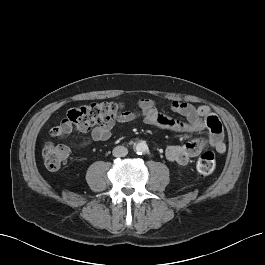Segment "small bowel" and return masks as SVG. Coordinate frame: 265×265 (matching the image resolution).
Returning <instances> with one entry per match:
<instances>
[{
  "label": "small bowel",
  "instance_id": "1",
  "mask_svg": "<svg viewBox=\"0 0 265 265\" xmlns=\"http://www.w3.org/2000/svg\"><path fill=\"white\" fill-rule=\"evenodd\" d=\"M139 111H126L117 121L120 123H128L137 119H142L146 124L161 129L183 133H202L205 129H209L208 118L213 116L211 110L207 106L196 107L194 105L174 101L171 104V110L184 117L186 121H180L172 117L161 114L158 111L155 101L151 99H141L138 101ZM116 122H105L96 125L91 130L90 140L94 142H105L111 138L112 129ZM210 144L219 153L226 151V144L222 134L215 135L211 132ZM206 145L201 139L192 140L183 145H170L166 148V158L173 163L186 165L189 161L196 157Z\"/></svg>",
  "mask_w": 265,
  "mask_h": 265
}]
</instances>
